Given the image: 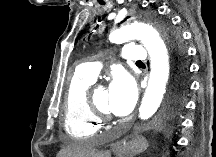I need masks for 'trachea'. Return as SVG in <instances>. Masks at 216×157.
<instances>
[{
	"mask_svg": "<svg viewBox=\"0 0 216 157\" xmlns=\"http://www.w3.org/2000/svg\"><path fill=\"white\" fill-rule=\"evenodd\" d=\"M101 4H104V2H101ZM137 64H143V62L142 61H138V62H136Z\"/></svg>",
	"mask_w": 216,
	"mask_h": 157,
	"instance_id": "trachea-1",
	"label": "trachea"
}]
</instances>
